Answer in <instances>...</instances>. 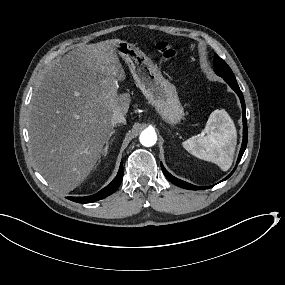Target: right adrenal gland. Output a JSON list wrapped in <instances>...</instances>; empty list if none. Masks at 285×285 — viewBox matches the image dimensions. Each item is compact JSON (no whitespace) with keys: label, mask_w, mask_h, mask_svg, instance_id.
I'll return each mask as SVG.
<instances>
[{"label":"right adrenal gland","mask_w":285,"mask_h":285,"mask_svg":"<svg viewBox=\"0 0 285 285\" xmlns=\"http://www.w3.org/2000/svg\"><path fill=\"white\" fill-rule=\"evenodd\" d=\"M114 133H115V130H112V131L110 132V135H109V137H108V139H107V141H106V146H105L104 150L102 151V154L105 155V156H106L107 153H108L109 144L113 142V139H111V140L109 141V138H110V136H112Z\"/></svg>","instance_id":"obj_1"}]
</instances>
